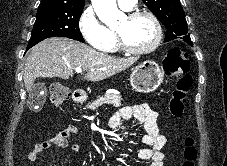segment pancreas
<instances>
[{
	"instance_id": "cf45deb5",
	"label": "pancreas",
	"mask_w": 227,
	"mask_h": 166,
	"mask_svg": "<svg viewBox=\"0 0 227 166\" xmlns=\"http://www.w3.org/2000/svg\"><path fill=\"white\" fill-rule=\"evenodd\" d=\"M121 100L122 98L120 96L107 94L104 97H99L97 100L88 103L86 107L89 110H95L104 104H111L114 107H120L122 105Z\"/></svg>"
}]
</instances>
